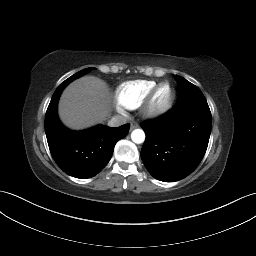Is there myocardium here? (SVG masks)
<instances>
[{"mask_svg":"<svg viewBox=\"0 0 256 256\" xmlns=\"http://www.w3.org/2000/svg\"><path fill=\"white\" fill-rule=\"evenodd\" d=\"M165 86H168L170 89V94L168 99L162 103H156V96L158 92ZM175 99V91L172 85L168 82H162L157 84L145 98L141 106V112L144 116L148 118H156L166 114L172 107Z\"/></svg>","mask_w":256,"mask_h":256,"instance_id":"f54148a6","label":"myocardium"}]
</instances>
